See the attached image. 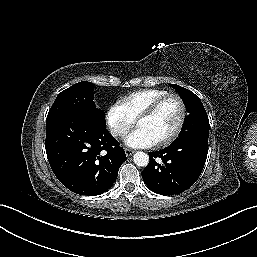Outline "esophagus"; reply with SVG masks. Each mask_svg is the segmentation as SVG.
<instances>
[{
	"label": "esophagus",
	"mask_w": 257,
	"mask_h": 257,
	"mask_svg": "<svg viewBox=\"0 0 257 257\" xmlns=\"http://www.w3.org/2000/svg\"><path fill=\"white\" fill-rule=\"evenodd\" d=\"M134 152H135V151L132 150V149H128V148L125 149V154H126V156H131Z\"/></svg>",
	"instance_id": "1"
}]
</instances>
